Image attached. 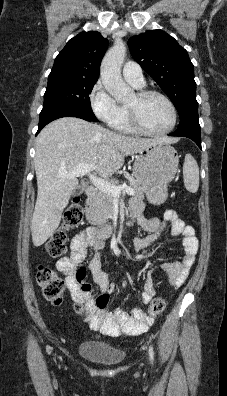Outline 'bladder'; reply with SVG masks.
<instances>
[{
	"instance_id": "31cf9c89",
	"label": "bladder",
	"mask_w": 227,
	"mask_h": 396,
	"mask_svg": "<svg viewBox=\"0 0 227 396\" xmlns=\"http://www.w3.org/2000/svg\"><path fill=\"white\" fill-rule=\"evenodd\" d=\"M78 354L83 359L103 366H113L124 361L123 351L100 342H83L78 346Z\"/></svg>"
}]
</instances>
